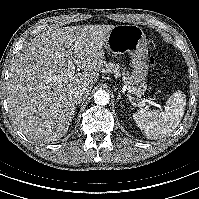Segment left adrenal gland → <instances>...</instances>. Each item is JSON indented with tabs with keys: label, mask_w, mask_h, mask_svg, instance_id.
Returning a JSON list of instances; mask_svg holds the SVG:
<instances>
[{
	"label": "left adrenal gland",
	"mask_w": 199,
	"mask_h": 199,
	"mask_svg": "<svg viewBox=\"0 0 199 199\" xmlns=\"http://www.w3.org/2000/svg\"><path fill=\"white\" fill-rule=\"evenodd\" d=\"M121 99V95L120 93L118 92V97H117V100L119 101ZM120 103L122 104V102L120 101Z\"/></svg>",
	"instance_id": "1"
}]
</instances>
